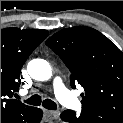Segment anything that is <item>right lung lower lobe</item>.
<instances>
[{"label": "right lung lower lobe", "mask_w": 123, "mask_h": 123, "mask_svg": "<svg viewBox=\"0 0 123 123\" xmlns=\"http://www.w3.org/2000/svg\"><path fill=\"white\" fill-rule=\"evenodd\" d=\"M43 112L36 107H30L13 114L10 118L1 123H39Z\"/></svg>", "instance_id": "obj_1"}]
</instances>
